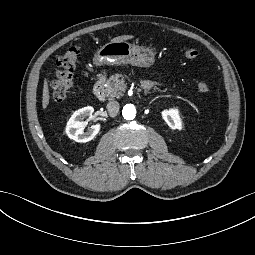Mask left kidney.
<instances>
[{
	"label": "left kidney",
	"instance_id": "left-kidney-1",
	"mask_svg": "<svg viewBox=\"0 0 255 255\" xmlns=\"http://www.w3.org/2000/svg\"><path fill=\"white\" fill-rule=\"evenodd\" d=\"M162 115L170 128L176 129L181 127V121L176 110L164 111Z\"/></svg>",
	"mask_w": 255,
	"mask_h": 255
}]
</instances>
